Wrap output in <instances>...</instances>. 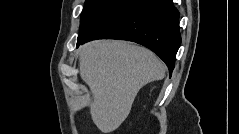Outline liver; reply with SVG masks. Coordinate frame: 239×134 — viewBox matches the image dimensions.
<instances>
[{
  "label": "liver",
  "mask_w": 239,
  "mask_h": 134,
  "mask_svg": "<svg viewBox=\"0 0 239 134\" xmlns=\"http://www.w3.org/2000/svg\"><path fill=\"white\" fill-rule=\"evenodd\" d=\"M79 61L80 76L93 95L92 120L104 134L122 124L144 85L165 76V65L152 51L124 41L87 43Z\"/></svg>",
  "instance_id": "1"
}]
</instances>
